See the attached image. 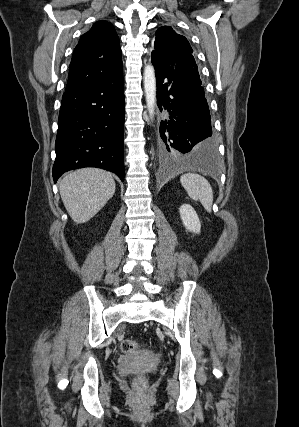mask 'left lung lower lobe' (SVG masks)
Segmentation results:
<instances>
[{
  "label": "left lung lower lobe",
  "instance_id": "1",
  "mask_svg": "<svg viewBox=\"0 0 299 427\" xmlns=\"http://www.w3.org/2000/svg\"><path fill=\"white\" fill-rule=\"evenodd\" d=\"M151 57L157 79V105L168 114L160 123L161 158L215 172L217 145L204 88L191 76L195 65L192 52L186 48L154 50Z\"/></svg>",
  "mask_w": 299,
  "mask_h": 427
}]
</instances>
